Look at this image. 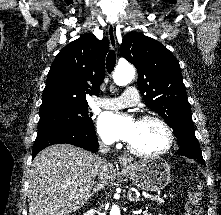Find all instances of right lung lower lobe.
<instances>
[{"label":"right lung lower lobe","mask_w":221,"mask_h":215,"mask_svg":"<svg viewBox=\"0 0 221 215\" xmlns=\"http://www.w3.org/2000/svg\"><path fill=\"white\" fill-rule=\"evenodd\" d=\"M60 143L72 144L92 152H96L99 147L93 125L83 128L64 127L38 133L32 151V158L45 147Z\"/></svg>","instance_id":"right-lung-lower-lobe-1"}]
</instances>
